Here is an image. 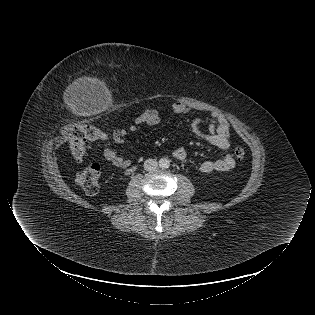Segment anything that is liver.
Wrapping results in <instances>:
<instances>
[{
  "label": "liver",
  "instance_id": "1",
  "mask_svg": "<svg viewBox=\"0 0 315 315\" xmlns=\"http://www.w3.org/2000/svg\"><path fill=\"white\" fill-rule=\"evenodd\" d=\"M86 83H92V84H96V85H101L103 86V82L99 81L96 78H89V77H82V78H78L73 85L71 86V89L77 88L78 86H80L81 84H86ZM106 103H108V99H106Z\"/></svg>",
  "mask_w": 315,
  "mask_h": 315
}]
</instances>
